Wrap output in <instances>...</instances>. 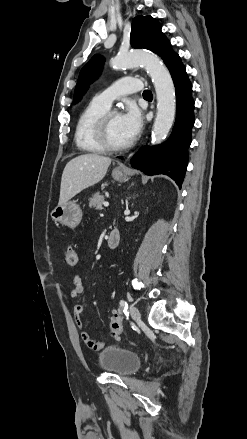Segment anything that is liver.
<instances>
[{
	"label": "liver",
	"mask_w": 247,
	"mask_h": 439,
	"mask_svg": "<svg viewBox=\"0 0 247 439\" xmlns=\"http://www.w3.org/2000/svg\"><path fill=\"white\" fill-rule=\"evenodd\" d=\"M112 159L98 154H84L70 160L62 174L59 205L68 202L82 190L100 182Z\"/></svg>",
	"instance_id": "6515ba94"
}]
</instances>
